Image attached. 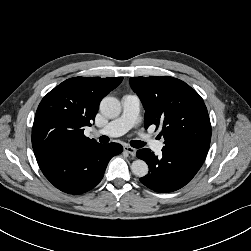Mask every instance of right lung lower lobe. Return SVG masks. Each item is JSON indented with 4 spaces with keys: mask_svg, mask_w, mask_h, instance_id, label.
Here are the masks:
<instances>
[{
    "mask_svg": "<svg viewBox=\"0 0 251 251\" xmlns=\"http://www.w3.org/2000/svg\"><path fill=\"white\" fill-rule=\"evenodd\" d=\"M122 151L117 143L97 144L36 159L45 177L56 188L69 194H81L101 181L110 159Z\"/></svg>",
    "mask_w": 251,
    "mask_h": 251,
    "instance_id": "right-lung-lower-lobe-1",
    "label": "right lung lower lobe"
}]
</instances>
